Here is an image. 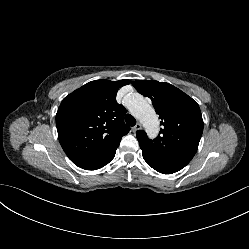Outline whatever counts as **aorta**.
<instances>
[{"label":"aorta","mask_w":249,"mask_h":249,"mask_svg":"<svg viewBox=\"0 0 249 249\" xmlns=\"http://www.w3.org/2000/svg\"><path fill=\"white\" fill-rule=\"evenodd\" d=\"M128 109L144 126L150 137H156L159 132V119L154 108L138 93L130 95Z\"/></svg>","instance_id":"obj_1"}]
</instances>
